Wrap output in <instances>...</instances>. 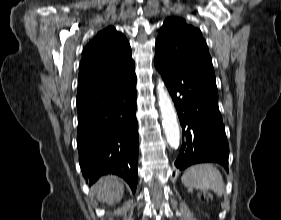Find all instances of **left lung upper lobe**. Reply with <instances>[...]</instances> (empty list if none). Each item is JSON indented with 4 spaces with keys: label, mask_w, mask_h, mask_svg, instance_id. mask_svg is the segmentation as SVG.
<instances>
[{
    "label": "left lung upper lobe",
    "mask_w": 281,
    "mask_h": 220,
    "mask_svg": "<svg viewBox=\"0 0 281 220\" xmlns=\"http://www.w3.org/2000/svg\"><path fill=\"white\" fill-rule=\"evenodd\" d=\"M155 59L182 62L215 81L212 60L201 31L182 18L169 17L164 21L156 40Z\"/></svg>",
    "instance_id": "1"
}]
</instances>
